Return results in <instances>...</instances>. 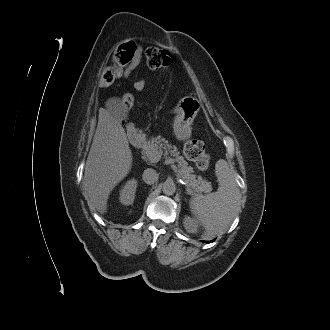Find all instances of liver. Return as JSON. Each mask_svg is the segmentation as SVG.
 Segmentation results:
<instances>
[{
	"label": "liver",
	"instance_id": "1",
	"mask_svg": "<svg viewBox=\"0 0 330 330\" xmlns=\"http://www.w3.org/2000/svg\"><path fill=\"white\" fill-rule=\"evenodd\" d=\"M100 108L98 124L86 160L84 187L90 206L99 213L107 211L110 192L129 172L132 152L121 120L115 115L120 104Z\"/></svg>",
	"mask_w": 330,
	"mask_h": 330
}]
</instances>
